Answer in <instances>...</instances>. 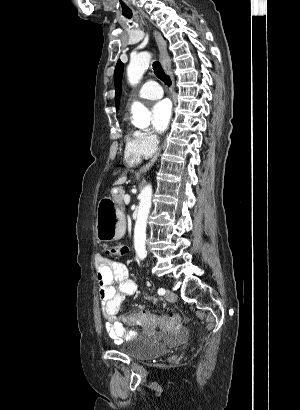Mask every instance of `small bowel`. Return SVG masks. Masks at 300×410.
Masks as SVG:
<instances>
[{
    "instance_id": "c3829d8e",
    "label": "small bowel",
    "mask_w": 300,
    "mask_h": 410,
    "mask_svg": "<svg viewBox=\"0 0 300 410\" xmlns=\"http://www.w3.org/2000/svg\"><path fill=\"white\" fill-rule=\"evenodd\" d=\"M95 270L108 335L116 344L133 339L135 331L118 321L117 314L124 300L135 294L136 282L129 277L125 265L102 255L95 260Z\"/></svg>"
}]
</instances>
